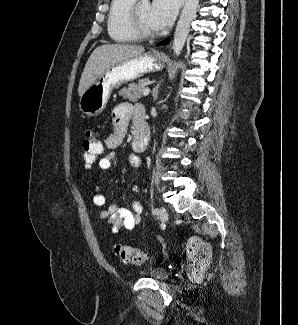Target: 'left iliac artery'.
<instances>
[{
    "label": "left iliac artery",
    "mask_w": 298,
    "mask_h": 325,
    "mask_svg": "<svg viewBox=\"0 0 298 325\" xmlns=\"http://www.w3.org/2000/svg\"><path fill=\"white\" fill-rule=\"evenodd\" d=\"M153 214H154V215H159V209H158V208L154 209V210H153Z\"/></svg>",
    "instance_id": "left-iliac-artery-1"
}]
</instances>
